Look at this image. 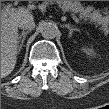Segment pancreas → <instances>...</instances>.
<instances>
[{
	"mask_svg": "<svg viewBox=\"0 0 109 109\" xmlns=\"http://www.w3.org/2000/svg\"><path fill=\"white\" fill-rule=\"evenodd\" d=\"M63 11H72L78 14L79 18L84 21L101 26L105 33L109 30V17L104 12L94 9L91 6H85L80 1H54Z\"/></svg>",
	"mask_w": 109,
	"mask_h": 109,
	"instance_id": "obj_1",
	"label": "pancreas"
}]
</instances>
